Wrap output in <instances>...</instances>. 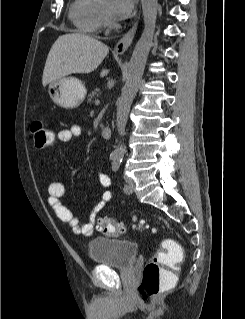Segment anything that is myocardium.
Returning <instances> with one entry per match:
<instances>
[{
    "instance_id": "1",
    "label": "myocardium",
    "mask_w": 245,
    "mask_h": 319,
    "mask_svg": "<svg viewBox=\"0 0 245 319\" xmlns=\"http://www.w3.org/2000/svg\"><path fill=\"white\" fill-rule=\"evenodd\" d=\"M102 9H103L104 16L107 19V22L110 25H114V21H113L110 9L106 8L104 5H102Z\"/></svg>"
}]
</instances>
